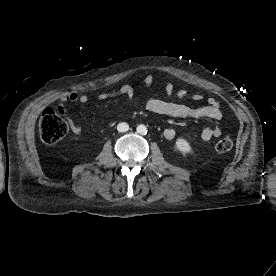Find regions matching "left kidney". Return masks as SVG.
Wrapping results in <instances>:
<instances>
[{
	"label": "left kidney",
	"instance_id": "obj_1",
	"mask_svg": "<svg viewBox=\"0 0 276 276\" xmlns=\"http://www.w3.org/2000/svg\"><path fill=\"white\" fill-rule=\"evenodd\" d=\"M175 144H176V148L184 154L192 151L189 142L184 138L177 139Z\"/></svg>",
	"mask_w": 276,
	"mask_h": 276
}]
</instances>
